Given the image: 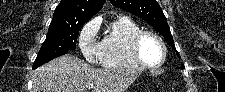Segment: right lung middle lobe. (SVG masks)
<instances>
[{
	"mask_svg": "<svg viewBox=\"0 0 225 92\" xmlns=\"http://www.w3.org/2000/svg\"><path fill=\"white\" fill-rule=\"evenodd\" d=\"M86 21H74L64 26H49L47 37L34 61L33 69L76 48L79 31Z\"/></svg>",
	"mask_w": 225,
	"mask_h": 92,
	"instance_id": "dd1d6c3e",
	"label": "right lung middle lobe"
}]
</instances>
